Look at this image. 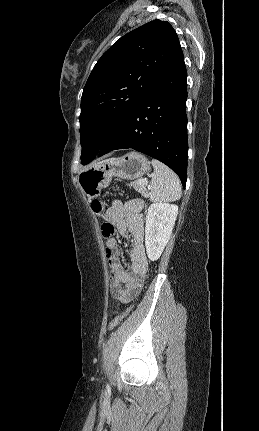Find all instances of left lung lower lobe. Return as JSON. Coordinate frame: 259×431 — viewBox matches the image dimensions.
<instances>
[{
	"mask_svg": "<svg viewBox=\"0 0 259 431\" xmlns=\"http://www.w3.org/2000/svg\"><path fill=\"white\" fill-rule=\"evenodd\" d=\"M187 71L182 50L151 90L135 105L97 154L132 148L149 155L187 180Z\"/></svg>",
	"mask_w": 259,
	"mask_h": 431,
	"instance_id": "1",
	"label": "left lung lower lobe"
}]
</instances>
